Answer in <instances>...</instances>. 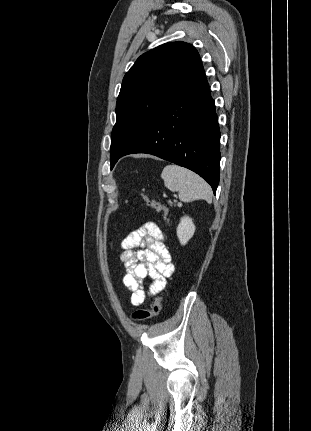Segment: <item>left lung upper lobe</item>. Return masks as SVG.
<instances>
[{"label":"left lung upper lobe","instance_id":"1","mask_svg":"<svg viewBox=\"0 0 311 431\" xmlns=\"http://www.w3.org/2000/svg\"><path fill=\"white\" fill-rule=\"evenodd\" d=\"M202 66L195 47L169 42L142 54L125 74L111 135V164L146 131L155 116Z\"/></svg>","mask_w":311,"mask_h":431}]
</instances>
